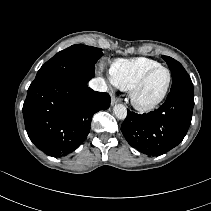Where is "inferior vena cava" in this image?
<instances>
[{"instance_id":"1","label":"inferior vena cava","mask_w":211,"mask_h":211,"mask_svg":"<svg viewBox=\"0 0 211 211\" xmlns=\"http://www.w3.org/2000/svg\"><path fill=\"white\" fill-rule=\"evenodd\" d=\"M89 87L95 91L106 92L107 91V84L105 80L101 77L94 78L89 82Z\"/></svg>"}]
</instances>
